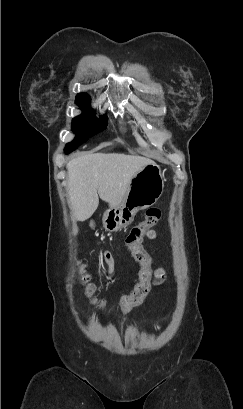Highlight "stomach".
I'll list each match as a JSON object with an SVG mask.
<instances>
[{"instance_id": "obj_1", "label": "stomach", "mask_w": 243, "mask_h": 409, "mask_svg": "<svg viewBox=\"0 0 243 409\" xmlns=\"http://www.w3.org/2000/svg\"><path fill=\"white\" fill-rule=\"evenodd\" d=\"M164 174L161 167L150 163L133 176L123 202L105 211L103 226L116 232L128 226L139 210L154 205L164 190ZM94 226V224H91Z\"/></svg>"}]
</instances>
